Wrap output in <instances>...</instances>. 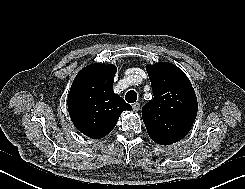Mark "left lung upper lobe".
<instances>
[{
  "mask_svg": "<svg viewBox=\"0 0 245 189\" xmlns=\"http://www.w3.org/2000/svg\"><path fill=\"white\" fill-rule=\"evenodd\" d=\"M154 98L142 108L150 138L173 144L190 131L197 115V98L188 77L174 64L163 62L146 67Z\"/></svg>",
  "mask_w": 245,
  "mask_h": 189,
  "instance_id": "obj_1",
  "label": "left lung upper lobe"
}]
</instances>
